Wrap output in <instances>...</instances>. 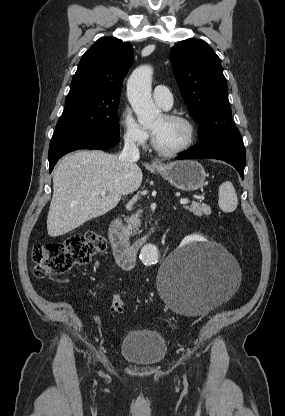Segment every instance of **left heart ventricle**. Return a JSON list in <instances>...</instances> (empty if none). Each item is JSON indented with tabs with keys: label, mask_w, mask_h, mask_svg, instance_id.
<instances>
[{
	"label": "left heart ventricle",
	"mask_w": 285,
	"mask_h": 416,
	"mask_svg": "<svg viewBox=\"0 0 285 416\" xmlns=\"http://www.w3.org/2000/svg\"><path fill=\"white\" fill-rule=\"evenodd\" d=\"M150 128L157 145L165 150L181 147L188 138V132L183 123L167 119L163 114L152 121Z\"/></svg>",
	"instance_id": "1"
}]
</instances>
